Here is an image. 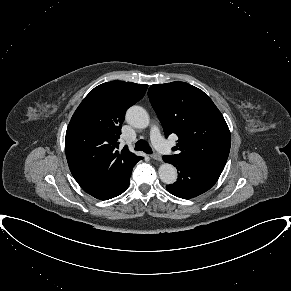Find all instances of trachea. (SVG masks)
<instances>
[{
    "label": "trachea",
    "instance_id": "trachea-1",
    "mask_svg": "<svg viewBox=\"0 0 291 291\" xmlns=\"http://www.w3.org/2000/svg\"><path fill=\"white\" fill-rule=\"evenodd\" d=\"M135 150L137 151H143L147 154H151L152 153V149L149 146V144L145 141V140H139L136 142L135 145Z\"/></svg>",
    "mask_w": 291,
    "mask_h": 291
}]
</instances>
